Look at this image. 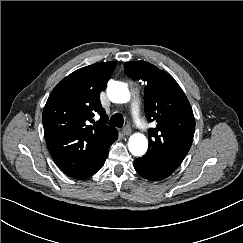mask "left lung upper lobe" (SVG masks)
I'll return each mask as SVG.
<instances>
[{"instance_id":"5c2ea615","label":"left lung upper lobe","mask_w":243,"mask_h":243,"mask_svg":"<svg viewBox=\"0 0 243 243\" xmlns=\"http://www.w3.org/2000/svg\"><path fill=\"white\" fill-rule=\"evenodd\" d=\"M132 79H144L145 114L157 126L148 131L149 149L143 156L164 167L176 170L187 155L193 141L195 119L184 92L165 71L145 62L124 64Z\"/></svg>"}]
</instances>
